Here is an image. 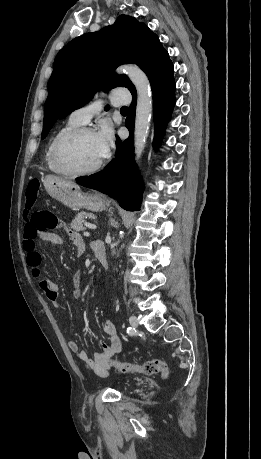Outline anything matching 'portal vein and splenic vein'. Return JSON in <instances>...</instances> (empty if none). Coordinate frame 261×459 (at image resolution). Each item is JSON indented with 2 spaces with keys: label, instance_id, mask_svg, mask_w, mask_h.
I'll return each mask as SVG.
<instances>
[{
  "label": "portal vein and splenic vein",
  "instance_id": "portal-vein-and-splenic-vein-1",
  "mask_svg": "<svg viewBox=\"0 0 261 459\" xmlns=\"http://www.w3.org/2000/svg\"><path fill=\"white\" fill-rule=\"evenodd\" d=\"M85 225L89 229H96V225L95 224L86 223Z\"/></svg>",
  "mask_w": 261,
  "mask_h": 459
}]
</instances>
